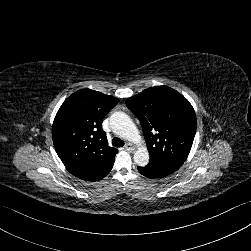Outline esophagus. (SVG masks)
I'll return each mask as SVG.
<instances>
[{
	"label": "esophagus",
	"instance_id": "34e87169",
	"mask_svg": "<svg viewBox=\"0 0 251 251\" xmlns=\"http://www.w3.org/2000/svg\"><path fill=\"white\" fill-rule=\"evenodd\" d=\"M125 149L126 150H128V151H135V146H134V144H132V143H127L126 145H125Z\"/></svg>",
	"mask_w": 251,
	"mask_h": 251
}]
</instances>
